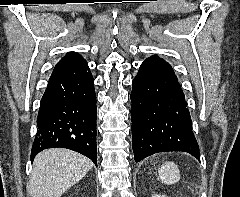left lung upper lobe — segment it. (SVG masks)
<instances>
[{"mask_svg": "<svg viewBox=\"0 0 240 197\" xmlns=\"http://www.w3.org/2000/svg\"><path fill=\"white\" fill-rule=\"evenodd\" d=\"M142 67H147L151 69L160 68V69H172V67L163 59L152 56L147 58L141 65Z\"/></svg>", "mask_w": 240, "mask_h": 197, "instance_id": "5c2ea615", "label": "left lung upper lobe"}]
</instances>
